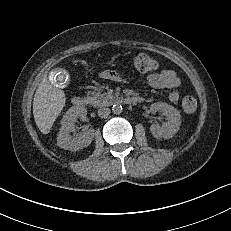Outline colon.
<instances>
[{
    "label": "colon",
    "instance_id": "5ec220e1",
    "mask_svg": "<svg viewBox=\"0 0 231 231\" xmlns=\"http://www.w3.org/2000/svg\"><path fill=\"white\" fill-rule=\"evenodd\" d=\"M133 67L140 73H152L158 69L156 59L145 53L136 54L132 59ZM182 108L186 113H193L197 108V101L192 96H186L182 100Z\"/></svg>",
    "mask_w": 231,
    "mask_h": 231
}]
</instances>
